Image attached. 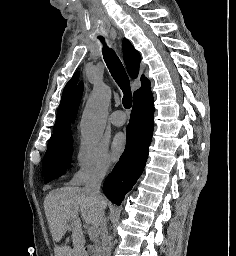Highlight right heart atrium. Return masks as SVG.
<instances>
[{
    "instance_id": "obj_1",
    "label": "right heart atrium",
    "mask_w": 236,
    "mask_h": 256,
    "mask_svg": "<svg viewBox=\"0 0 236 256\" xmlns=\"http://www.w3.org/2000/svg\"><path fill=\"white\" fill-rule=\"evenodd\" d=\"M111 160L106 147L100 144L88 146L81 143L74 155L69 183L84 185L103 180L109 173Z\"/></svg>"
}]
</instances>
